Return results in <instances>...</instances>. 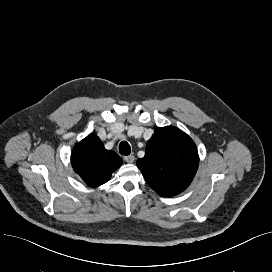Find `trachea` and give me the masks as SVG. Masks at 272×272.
<instances>
[{"instance_id": "3493384b", "label": "trachea", "mask_w": 272, "mask_h": 272, "mask_svg": "<svg viewBox=\"0 0 272 272\" xmlns=\"http://www.w3.org/2000/svg\"><path fill=\"white\" fill-rule=\"evenodd\" d=\"M119 152L120 154L127 156L131 153V147L126 141H122L119 144Z\"/></svg>"}]
</instances>
